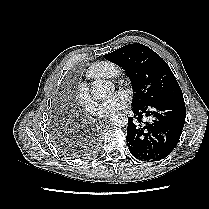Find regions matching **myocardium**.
I'll return each instance as SVG.
<instances>
[{
	"instance_id": "1",
	"label": "myocardium",
	"mask_w": 209,
	"mask_h": 209,
	"mask_svg": "<svg viewBox=\"0 0 209 209\" xmlns=\"http://www.w3.org/2000/svg\"><path fill=\"white\" fill-rule=\"evenodd\" d=\"M119 84H127V80L126 79H118L117 81Z\"/></svg>"
}]
</instances>
